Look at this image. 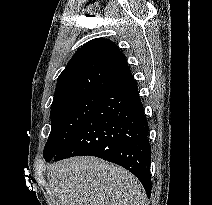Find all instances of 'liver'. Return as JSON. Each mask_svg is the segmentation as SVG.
Returning <instances> with one entry per match:
<instances>
[{
    "instance_id": "1",
    "label": "liver",
    "mask_w": 212,
    "mask_h": 205,
    "mask_svg": "<svg viewBox=\"0 0 212 205\" xmlns=\"http://www.w3.org/2000/svg\"><path fill=\"white\" fill-rule=\"evenodd\" d=\"M53 205H143V186L124 168L91 156L48 167Z\"/></svg>"
}]
</instances>
